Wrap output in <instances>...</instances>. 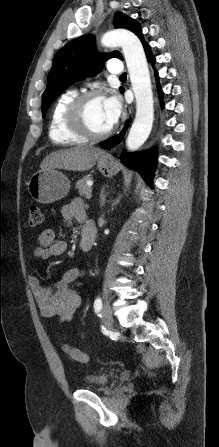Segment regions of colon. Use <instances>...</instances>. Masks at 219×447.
<instances>
[{
	"label": "colon",
	"mask_w": 219,
	"mask_h": 447,
	"mask_svg": "<svg viewBox=\"0 0 219 447\" xmlns=\"http://www.w3.org/2000/svg\"><path fill=\"white\" fill-rule=\"evenodd\" d=\"M42 223V212L38 205L32 204L29 207V225L37 227ZM62 350L74 361L78 363H85L87 360L86 354L80 349L70 346L68 344L62 345Z\"/></svg>",
	"instance_id": "obj_1"
}]
</instances>
